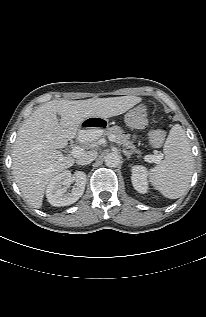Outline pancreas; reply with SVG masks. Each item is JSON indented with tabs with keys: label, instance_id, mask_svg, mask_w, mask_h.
<instances>
[{
	"label": "pancreas",
	"instance_id": "pancreas-1",
	"mask_svg": "<svg viewBox=\"0 0 206 317\" xmlns=\"http://www.w3.org/2000/svg\"><path fill=\"white\" fill-rule=\"evenodd\" d=\"M104 135H107V136H114L115 137V142L119 145H122L123 147L127 148V149H131V152H136L137 153V150H136V147L133 145V141H130V135L129 134H124V131L119 127V126H116L115 129H111L110 133L108 132H104ZM97 138V135L96 137L92 138L91 140H88V141H92L94 139ZM87 141V140H85Z\"/></svg>",
	"mask_w": 206,
	"mask_h": 317
}]
</instances>
